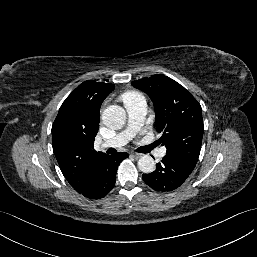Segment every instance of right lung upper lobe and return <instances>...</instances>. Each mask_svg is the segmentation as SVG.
Segmentation results:
<instances>
[{
    "label": "right lung upper lobe",
    "mask_w": 257,
    "mask_h": 257,
    "mask_svg": "<svg viewBox=\"0 0 257 257\" xmlns=\"http://www.w3.org/2000/svg\"><path fill=\"white\" fill-rule=\"evenodd\" d=\"M114 90L111 83L85 81L63 102L52 126L53 152L64 177L76 191L90 180L106 154L94 150L100 106Z\"/></svg>",
    "instance_id": "right-lung-upper-lobe-1"
}]
</instances>
